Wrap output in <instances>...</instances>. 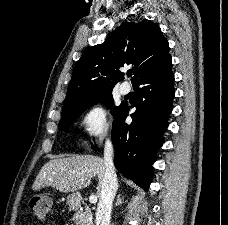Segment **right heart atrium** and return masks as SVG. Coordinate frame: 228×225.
Instances as JSON below:
<instances>
[{"label":"right heart atrium","instance_id":"right-heart-atrium-1","mask_svg":"<svg viewBox=\"0 0 228 225\" xmlns=\"http://www.w3.org/2000/svg\"><path fill=\"white\" fill-rule=\"evenodd\" d=\"M80 125L92 140H103L110 132L107 110L101 104L88 107L80 116Z\"/></svg>","mask_w":228,"mask_h":225}]
</instances>
